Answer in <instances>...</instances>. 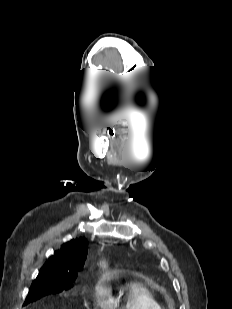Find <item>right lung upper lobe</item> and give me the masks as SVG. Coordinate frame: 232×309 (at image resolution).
<instances>
[{
  "label": "right lung upper lobe",
  "mask_w": 232,
  "mask_h": 309,
  "mask_svg": "<svg viewBox=\"0 0 232 309\" xmlns=\"http://www.w3.org/2000/svg\"><path fill=\"white\" fill-rule=\"evenodd\" d=\"M88 242L84 238L73 239L54 252L41 268L37 278L55 281L75 280L77 271L83 266Z\"/></svg>",
  "instance_id": "obj_1"
}]
</instances>
